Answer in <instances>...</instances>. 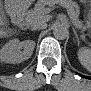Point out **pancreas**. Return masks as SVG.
Instances as JSON below:
<instances>
[{
    "label": "pancreas",
    "instance_id": "cf45deb5",
    "mask_svg": "<svg viewBox=\"0 0 91 91\" xmlns=\"http://www.w3.org/2000/svg\"><path fill=\"white\" fill-rule=\"evenodd\" d=\"M56 1H38L35 4V8L30 10L28 12L29 17L34 20H42L45 15L50 11L49 8H46V5H49L50 7L54 6ZM59 3L65 7L68 11V14L70 18L72 19L73 23L77 26V24H81L80 21L78 20V13L75 12L74 10V3L70 1H59ZM88 28V26L85 27V29Z\"/></svg>",
    "mask_w": 91,
    "mask_h": 91
}]
</instances>
